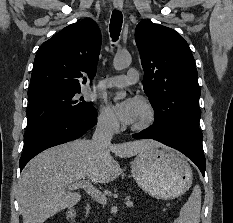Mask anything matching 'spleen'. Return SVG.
Listing matches in <instances>:
<instances>
[{"mask_svg": "<svg viewBox=\"0 0 233 223\" xmlns=\"http://www.w3.org/2000/svg\"><path fill=\"white\" fill-rule=\"evenodd\" d=\"M201 211V187L195 185L193 191L180 209V215L175 223H199Z\"/></svg>", "mask_w": 233, "mask_h": 223, "instance_id": "3e777b00", "label": "spleen"}]
</instances>
